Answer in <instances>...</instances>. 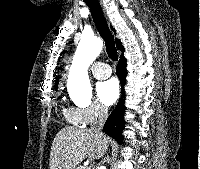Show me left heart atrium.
<instances>
[{
    "label": "left heart atrium",
    "mask_w": 200,
    "mask_h": 169,
    "mask_svg": "<svg viewBox=\"0 0 200 169\" xmlns=\"http://www.w3.org/2000/svg\"><path fill=\"white\" fill-rule=\"evenodd\" d=\"M100 102L106 106L113 105L119 96V84L114 78L101 82L97 87Z\"/></svg>",
    "instance_id": "obj_1"
}]
</instances>
